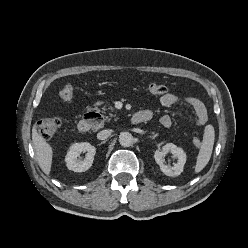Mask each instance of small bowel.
Instances as JSON below:
<instances>
[{
    "mask_svg": "<svg viewBox=\"0 0 248 248\" xmlns=\"http://www.w3.org/2000/svg\"><path fill=\"white\" fill-rule=\"evenodd\" d=\"M180 101H184L193 109L194 114L193 116H191V121L195 125L202 126L207 122L208 120L207 109L201 100L195 97L181 98L173 93H166L160 97V103L162 106L165 107H171ZM142 112L146 113L149 116V119L153 115V112L149 109H146ZM160 122L164 127L169 128L172 125V118L166 114L161 117Z\"/></svg>",
    "mask_w": 248,
    "mask_h": 248,
    "instance_id": "obj_1",
    "label": "small bowel"
}]
</instances>
